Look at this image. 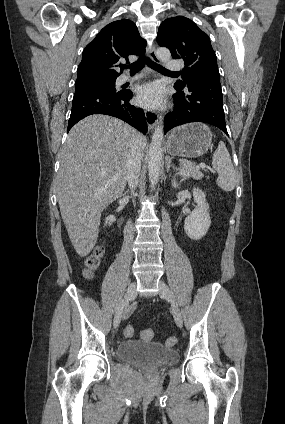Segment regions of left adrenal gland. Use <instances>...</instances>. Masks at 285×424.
<instances>
[{
	"label": "left adrenal gland",
	"mask_w": 285,
	"mask_h": 424,
	"mask_svg": "<svg viewBox=\"0 0 285 424\" xmlns=\"http://www.w3.org/2000/svg\"><path fill=\"white\" fill-rule=\"evenodd\" d=\"M166 170L169 172L170 168L175 169V166L171 164V158L169 156H166Z\"/></svg>",
	"instance_id": "obj_1"
}]
</instances>
